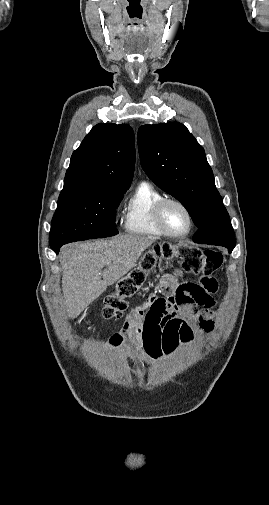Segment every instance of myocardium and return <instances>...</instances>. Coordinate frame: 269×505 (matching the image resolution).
Listing matches in <instances>:
<instances>
[{"label": "myocardium", "instance_id": "myocardium-1", "mask_svg": "<svg viewBox=\"0 0 269 505\" xmlns=\"http://www.w3.org/2000/svg\"><path fill=\"white\" fill-rule=\"evenodd\" d=\"M169 203H174V204L179 205L186 212L188 219H189V227L185 232L174 233L166 227V225L163 221V210H164V207ZM153 217H154L155 223L158 226V228L162 231V233L164 235H166L168 237H173V238L186 237L191 233V231L193 230V227H194V216H193L191 209L183 201H181L180 199H177V198H173V197H163L162 199H160L154 205Z\"/></svg>", "mask_w": 269, "mask_h": 505}]
</instances>
